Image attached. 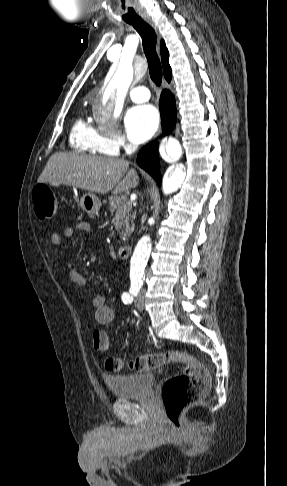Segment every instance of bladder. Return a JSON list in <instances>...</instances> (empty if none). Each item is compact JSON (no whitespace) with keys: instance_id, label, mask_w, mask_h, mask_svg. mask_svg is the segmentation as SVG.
I'll return each mask as SVG.
<instances>
[{"instance_id":"obj_1","label":"bladder","mask_w":287,"mask_h":486,"mask_svg":"<svg viewBox=\"0 0 287 486\" xmlns=\"http://www.w3.org/2000/svg\"><path fill=\"white\" fill-rule=\"evenodd\" d=\"M105 383L111 393L118 399H129L146 395L155 381L152 373L108 375Z\"/></svg>"}]
</instances>
